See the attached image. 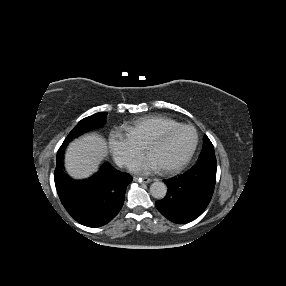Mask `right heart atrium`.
<instances>
[{
	"label": "right heart atrium",
	"instance_id": "d8ad5b80",
	"mask_svg": "<svg viewBox=\"0 0 286 286\" xmlns=\"http://www.w3.org/2000/svg\"><path fill=\"white\" fill-rule=\"evenodd\" d=\"M108 145L115 160L127 166L141 153L143 145L140 144L127 130L115 128L109 132Z\"/></svg>",
	"mask_w": 286,
	"mask_h": 286
}]
</instances>
